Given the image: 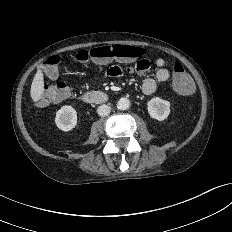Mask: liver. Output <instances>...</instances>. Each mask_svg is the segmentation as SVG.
Masks as SVG:
<instances>
[{
    "label": "liver",
    "mask_w": 232,
    "mask_h": 232,
    "mask_svg": "<svg viewBox=\"0 0 232 232\" xmlns=\"http://www.w3.org/2000/svg\"><path fill=\"white\" fill-rule=\"evenodd\" d=\"M44 92V76L41 69L36 72L31 84L30 95L34 102H37Z\"/></svg>",
    "instance_id": "6515ba94"
}]
</instances>
